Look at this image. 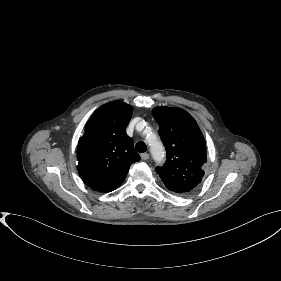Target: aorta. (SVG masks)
I'll list each match as a JSON object with an SVG mask.
<instances>
[{"label":"aorta","instance_id":"aorta-1","mask_svg":"<svg viewBox=\"0 0 281 281\" xmlns=\"http://www.w3.org/2000/svg\"><path fill=\"white\" fill-rule=\"evenodd\" d=\"M148 142L153 158L156 161H162L165 156V151L162 143L157 138L149 139Z\"/></svg>","mask_w":281,"mask_h":281}]
</instances>
